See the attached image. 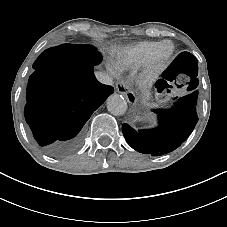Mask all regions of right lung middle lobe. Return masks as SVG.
<instances>
[{
  "label": "right lung middle lobe",
  "mask_w": 227,
  "mask_h": 227,
  "mask_svg": "<svg viewBox=\"0 0 227 227\" xmlns=\"http://www.w3.org/2000/svg\"><path fill=\"white\" fill-rule=\"evenodd\" d=\"M70 49L75 55H78L82 62L86 65H96L102 60V56L96 51V48L90 45H72Z\"/></svg>",
  "instance_id": "dd1d6c3e"
}]
</instances>
